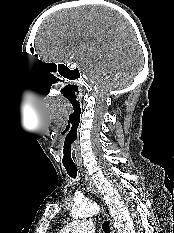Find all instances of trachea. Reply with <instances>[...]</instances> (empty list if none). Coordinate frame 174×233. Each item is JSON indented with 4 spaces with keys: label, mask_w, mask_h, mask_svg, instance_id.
<instances>
[{
    "label": "trachea",
    "mask_w": 174,
    "mask_h": 233,
    "mask_svg": "<svg viewBox=\"0 0 174 233\" xmlns=\"http://www.w3.org/2000/svg\"><path fill=\"white\" fill-rule=\"evenodd\" d=\"M68 175L72 178H76L77 177V168L76 167H65ZM102 229L104 231V233H110V224L109 221H105L102 225Z\"/></svg>",
    "instance_id": "trachea-1"
}]
</instances>
